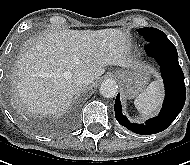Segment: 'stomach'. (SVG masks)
<instances>
[{"instance_id": "stomach-1", "label": "stomach", "mask_w": 190, "mask_h": 165, "mask_svg": "<svg viewBox=\"0 0 190 165\" xmlns=\"http://www.w3.org/2000/svg\"><path fill=\"white\" fill-rule=\"evenodd\" d=\"M153 73V70L144 65L133 66L127 70H117L115 76L118 78L125 94L129 98H134L141 94Z\"/></svg>"}]
</instances>
